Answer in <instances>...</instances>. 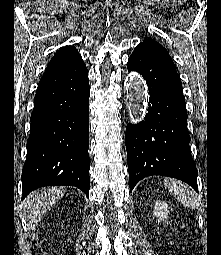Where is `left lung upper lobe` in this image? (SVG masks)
Segmentation results:
<instances>
[{
    "label": "left lung upper lobe",
    "instance_id": "left-lung-upper-lobe-1",
    "mask_svg": "<svg viewBox=\"0 0 221 255\" xmlns=\"http://www.w3.org/2000/svg\"><path fill=\"white\" fill-rule=\"evenodd\" d=\"M137 47H143V48H147V49L151 50L152 52L162 56L163 59L165 61H167L171 66L175 67L168 51L162 45H160L158 42H156L152 39H145Z\"/></svg>",
    "mask_w": 221,
    "mask_h": 255
}]
</instances>
